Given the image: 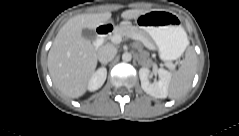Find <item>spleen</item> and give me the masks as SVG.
Masks as SVG:
<instances>
[{"label":"spleen","mask_w":239,"mask_h":136,"mask_svg":"<svg viewBox=\"0 0 239 136\" xmlns=\"http://www.w3.org/2000/svg\"><path fill=\"white\" fill-rule=\"evenodd\" d=\"M187 45L189 41L186 40ZM196 54L193 49H188L183 64L178 71L173 75L169 85V97L171 99H178L185 95L189 90L195 70H196Z\"/></svg>","instance_id":"spleen-1"}]
</instances>
